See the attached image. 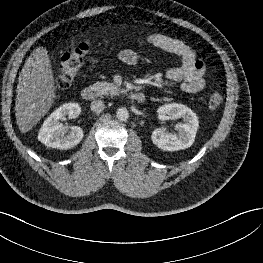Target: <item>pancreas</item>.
Segmentation results:
<instances>
[{
    "instance_id": "pancreas-1",
    "label": "pancreas",
    "mask_w": 263,
    "mask_h": 263,
    "mask_svg": "<svg viewBox=\"0 0 263 263\" xmlns=\"http://www.w3.org/2000/svg\"><path fill=\"white\" fill-rule=\"evenodd\" d=\"M92 87L96 90L99 96H103V95L114 96L122 93V90L116 85H114L113 83L96 82L95 84L92 85Z\"/></svg>"
}]
</instances>
